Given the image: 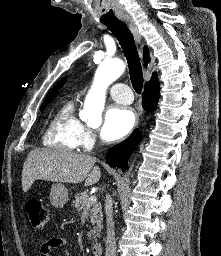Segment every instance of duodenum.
<instances>
[{"instance_id":"1","label":"duodenum","mask_w":221,"mask_h":256,"mask_svg":"<svg viewBox=\"0 0 221 256\" xmlns=\"http://www.w3.org/2000/svg\"><path fill=\"white\" fill-rule=\"evenodd\" d=\"M92 253L94 256L102 255V245L99 242H96L92 245Z\"/></svg>"}]
</instances>
